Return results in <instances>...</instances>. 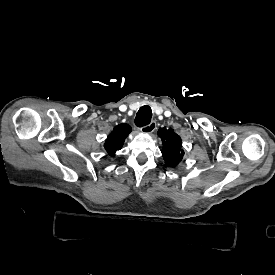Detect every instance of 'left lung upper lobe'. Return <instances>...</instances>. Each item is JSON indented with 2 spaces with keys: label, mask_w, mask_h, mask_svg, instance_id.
Returning <instances> with one entry per match:
<instances>
[{
  "label": "left lung upper lobe",
  "mask_w": 275,
  "mask_h": 275,
  "mask_svg": "<svg viewBox=\"0 0 275 275\" xmlns=\"http://www.w3.org/2000/svg\"><path fill=\"white\" fill-rule=\"evenodd\" d=\"M158 135L163 142L162 155L166 165L177 166L184 156L180 136L174 133L173 129L165 127L158 130Z\"/></svg>",
  "instance_id": "1"
}]
</instances>
